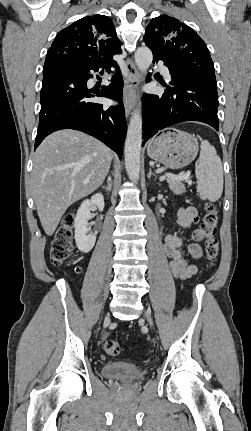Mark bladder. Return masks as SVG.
<instances>
[{
  "label": "bladder",
  "instance_id": "31cf9c89",
  "mask_svg": "<svg viewBox=\"0 0 251 431\" xmlns=\"http://www.w3.org/2000/svg\"><path fill=\"white\" fill-rule=\"evenodd\" d=\"M101 374L107 379L135 382L144 378L145 371L133 363L116 361L105 364Z\"/></svg>",
  "mask_w": 251,
  "mask_h": 431
}]
</instances>
